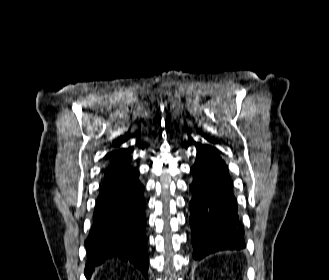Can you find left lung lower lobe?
Listing matches in <instances>:
<instances>
[{"instance_id":"1","label":"left lung lower lobe","mask_w":329,"mask_h":280,"mask_svg":"<svg viewBox=\"0 0 329 280\" xmlns=\"http://www.w3.org/2000/svg\"><path fill=\"white\" fill-rule=\"evenodd\" d=\"M194 180L189 204L193 258L222 250L245 248L244 230L239 221L237 202L227 166L216 149L204 145L191 168Z\"/></svg>"}]
</instances>
